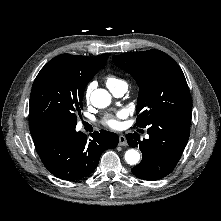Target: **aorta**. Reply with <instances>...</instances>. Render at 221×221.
I'll return each mask as SVG.
<instances>
[{
  "mask_svg": "<svg viewBox=\"0 0 221 221\" xmlns=\"http://www.w3.org/2000/svg\"><path fill=\"white\" fill-rule=\"evenodd\" d=\"M91 103L97 108H105L111 103V95L105 89H96L91 94ZM140 160V154L135 149H129L125 153V161L129 165H136Z\"/></svg>",
  "mask_w": 221,
  "mask_h": 221,
  "instance_id": "762f6f07",
  "label": "aorta"
}]
</instances>
